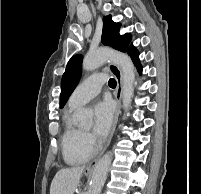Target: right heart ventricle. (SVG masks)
I'll return each mask as SVG.
<instances>
[{
	"label": "right heart ventricle",
	"mask_w": 201,
	"mask_h": 194,
	"mask_svg": "<svg viewBox=\"0 0 201 194\" xmlns=\"http://www.w3.org/2000/svg\"><path fill=\"white\" fill-rule=\"evenodd\" d=\"M75 107L69 106L63 116V132L61 146L64 160L71 165L86 162L92 156V149H89L83 141V131L72 122V113Z\"/></svg>",
	"instance_id": "e07e8e85"
}]
</instances>
